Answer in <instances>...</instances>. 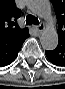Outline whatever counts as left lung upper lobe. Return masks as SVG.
I'll return each mask as SVG.
<instances>
[{
    "label": "left lung upper lobe",
    "mask_w": 65,
    "mask_h": 89,
    "mask_svg": "<svg viewBox=\"0 0 65 89\" xmlns=\"http://www.w3.org/2000/svg\"><path fill=\"white\" fill-rule=\"evenodd\" d=\"M58 22V37L65 38V0H51Z\"/></svg>",
    "instance_id": "5c2ea615"
}]
</instances>
